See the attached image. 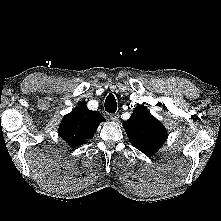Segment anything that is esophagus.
<instances>
[{
    "instance_id": "esophagus-1",
    "label": "esophagus",
    "mask_w": 221,
    "mask_h": 221,
    "mask_svg": "<svg viewBox=\"0 0 221 221\" xmlns=\"http://www.w3.org/2000/svg\"><path fill=\"white\" fill-rule=\"evenodd\" d=\"M110 119L114 122L119 120V114L118 113H114L110 115Z\"/></svg>"
}]
</instances>
